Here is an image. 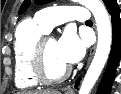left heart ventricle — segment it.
Wrapping results in <instances>:
<instances>
[{
	"label": "left heart ventricle",
	"mask_w": 121,
	"mask_h": 94,
	"mask_svg": "<svg viewBox=\"0 0 121 94\" xmlns=\"http://www.w3.org/2000/svg\"><path fill=\"white\" fill-rule=\"evenodd\" d=\"M45 64L50 76H57L68 67L58 52L57 41L53 38H48L45 43Z\"/></svg>",
	"instance_id": "1"
}]
</instances>
